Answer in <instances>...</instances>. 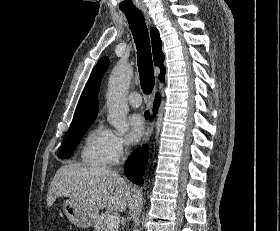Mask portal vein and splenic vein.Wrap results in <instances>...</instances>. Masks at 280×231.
Wrapping results in <instances>:
<instances>
[{"label":"portal vein and splenic vein","mask_w":280,"mask_h":231,"mask_svg":"<svg viewBox=\"0 0 280 231\" xmlns=\"http://www.w3.org/2000/svg\"><path fill=\"white\" fill-rule=\"evenodd\" d=\"M107 223H108L107 227H113V225H118L119 219L117 215H110V217H108Z\"/></svg>","instance_id":"1"}]
</instances>
